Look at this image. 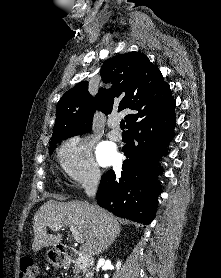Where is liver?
Returning a JSON list of instances; mask_svg holds the SVG:
<instances>
[{
	"label": "liver",
	"instance_id": "1",
	"mask_svg": "<svg viewBox=\"0 0 221 278\" xmlns=\"http://www.w3.org/2000/svg\"><path fill=\"white\" fill-rule=\"evenodd\" d=\"M73 226L83 236L81 252L95 256L107 250L120 234L121 227L111 213L105 209L82 201L59 202L49 200L36 212L33 218L34 241L32 250L56 247L62 241V234L47 233V227Z\"/></svg>",
	"mask_w": 221,
	"mask_h": 278
}]
</instances>
